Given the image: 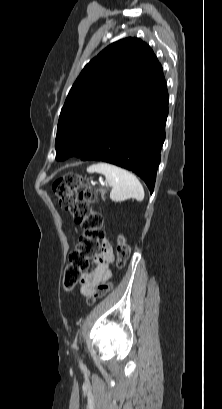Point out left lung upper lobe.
I'll return each instance as SVG.
<instances>
[{
    "label": "left lung upper lobe",
    "mask_w": 222,
    "mask_h": 409,
    "mask_svg": "<svg viewBox=\"0 0 222 409\" xmlns=\"http://www.w3.org/2000/svg\"><path fill=\"white\" fill-rule=\"evenodd\" d=\"M165 83L152 49L138 38L119 40L82 70L61 110L56 159L81 157L100 129L129 101L141 100Z\"/></svg>",
    "instance_id": "1"
}]
</instances>
